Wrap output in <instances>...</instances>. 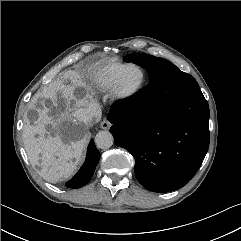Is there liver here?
I'll return each mask as SVG.
<instances>
[{"label": "liver", "mask_w": 241, "mask_h": 241, "mask_svg": "<svg viewBox=\"0 0 241 241\" xmlns=\"http://www.w3.org/2000/svg\"><path fill=\"white\" fill-rule=\"evenodd\" d=\"M69 78V85L59 79L50 83L48 91L39 95L43 100L36 97L30 104L36 118L32 123L27 117L24 120L23 140L29 161L40 167V176L50 183L74 173L87 143L82 111L94 99L89 93H75L83 85L78 74L72 73Z\"/></svg>", "instance_id": "liver-1"}]
</instances>
